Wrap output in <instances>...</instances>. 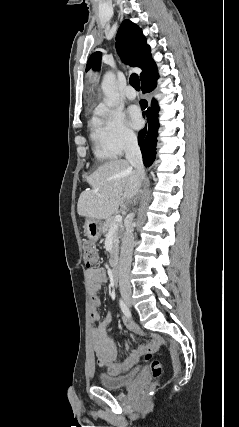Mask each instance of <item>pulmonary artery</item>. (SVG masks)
I'll return each mask as SVG.
<instances>
[{"label":"pulmonary artery","mask_w":239,"mask_h":427,"mask_svg":"<svg viewBox=\"0 0 239 427\" xmlns=\"http://www.w3.org/2000/svg\"><path fill=\"white\" fill-rule=\"evenodd\" d=\"M124 94L125 96L129 99V100H133L136 98V91L134 90V88L130 85H128L125 90H124Z\"/></svg>","instance_id":"obj_1"}]
</instances>
